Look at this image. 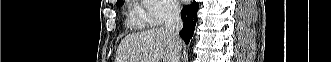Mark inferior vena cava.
<instances>
[{"label": "inferior vena cava", "mask_w": 331, "mask_h": 62, "mask_svg": "<svg viewBox=\"0 0 331 62\" xmlns=\"http://www.w3.org/2000/svg\"><path fill=\"white\" fill-rule=\"evenodd\" d=\"M164 28L170 34L175 44L181 43L179 32L183 28V21L180 17L178 6L172 4L168 7L164 20ZM178 59H180V51H177ZM180 62V60H177Z\"/></svg>", "instance_id": "obj_1"}]
</instances>
